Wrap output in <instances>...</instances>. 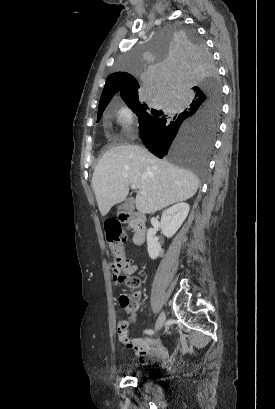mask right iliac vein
I'll use <instances>...</instances> for the list:
<instances>
[{
	"mask_svg": "<svg viewBox=\"0 0 275 409\" xmlns=\"http://www.w3.org/2000/svg\"><path fill=\"white\" fill-rule=\"evenodd\" d=\"M165 319H166V316H165L164 312H161L158 319H157V322H156V326H155L156 331H158V330H160L162 328V326H163V324L165 322Z\"/></svg>",
	"mask_w": 275,
	"mask_h": 409,
	"instance_id": "1",
	"label": "right iliac vein"
}]
</instances>
